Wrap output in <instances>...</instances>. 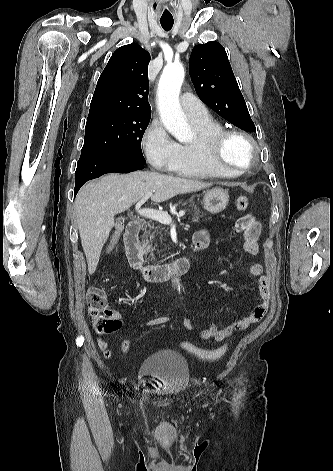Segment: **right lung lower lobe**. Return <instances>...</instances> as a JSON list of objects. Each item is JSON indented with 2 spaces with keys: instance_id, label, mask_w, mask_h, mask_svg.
Wrapping results in <instances>:
<instances>
[{
  "instance_id": "obj_1",
  "label": "right lung lower lobe",
  "mask_w": 333,
  "mask_h": 471,
  "mask_svg": "<svg viewBox=\"0 0 333 471\" xmlns=\"http://www.w3.org/2000/svg\"><path fill=\"white\" fill-rule=\"evenodd\" d=\"M143 168V163L112 155H88L80 157L76 169L74 197L81 186L88 180L100 177L106 173H129Z\"/></svg>"
}]
</instances>
